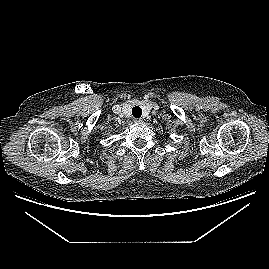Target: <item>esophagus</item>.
Wrapping results in <instances>:
<instances>
[{"label": "esophagus", "mask_w": 269, "mask_h": 269, "mask_svg": "<svg viewBox=\"0 0 269 269\" xmlns=\"http://www.w3.org/2000/svg\"><path fill=\"white\" fill-rule=\"evenodd\" d=\"M134 123H136V124H142L143 123V119H141V118H135L134 119Z\"/></svg>", "instance_id": "34e87169"}]
</instances>
